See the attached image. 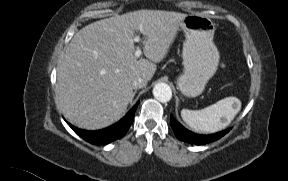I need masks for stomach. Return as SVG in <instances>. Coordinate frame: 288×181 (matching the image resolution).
I'll return each mask as SVG.
<instances>
[{
	"instance_id": "1",
	"label": "stomach",
	"mask_w": 288,
	"mask_h": 181,
	"mask_svg": "<svg viewBox=\"0 0 288 181\" xmlns=\"http://www.w3.org/2000/svg\"><path fill=\"white\" fill-rule=\"evenodd\" d=\"M181 28L186 36L182 51L184 71L177 78V85L183 95L196 97L218 67L219 52L213 42L216 26L208 17L189 14L182 20Z\"/></svg>"
}]
</instances>
